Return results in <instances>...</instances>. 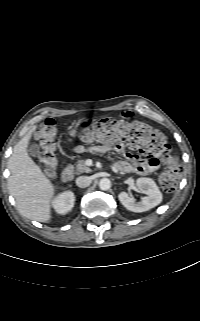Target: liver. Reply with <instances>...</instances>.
I'll return each instance as SVG.
<instances>
[{"mask_svg":"<svg viewBox=\"0 0 200 321\" xmlns=\"http://www.w3.org/2000/svg\"><path fill=\"white\" fill-rule=\"evenodd\" d=\"M34 126L14 147L8 161V188L19 213L31 220L49 222L54 185L30 158L27 146L35 131Z\"/></svg>","mask_w":200,"mask_h":321,"instance_id":"liver-1","label":"liver"}]
</instances>
